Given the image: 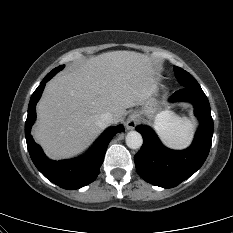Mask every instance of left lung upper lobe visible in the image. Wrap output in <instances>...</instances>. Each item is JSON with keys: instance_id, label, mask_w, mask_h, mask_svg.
I'll use <instances>...</instances> for the list:
<instances>
[{"instance_id": "left-lung-upper-lobe-1", "label": "left lung upper lobe", "mask_w": 233, "mask_h": 233, "mask_svg": "<svg viewBox=\"0 0 233 233\" xmlns=\"http://www.w3.org/2000/svg\"><path fill=\"white\" fill-rule=\"evenodd\" d=\"M176 77L183 87L201 88L196 79L180 67L174 66Z\"/></svg>"}]
</instances>
